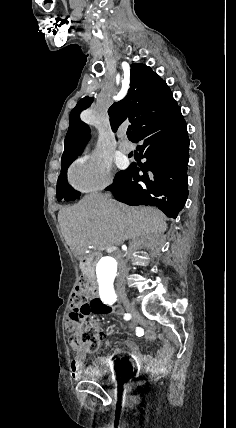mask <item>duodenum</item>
Returning a JSON list of instances; mask_svg holds the SVG:
<instances>
[{
  "mask_svg": "<svg viewBox=\"0 0 236 428\" xmlns=\"http://www.w3.org/2000/svg\"><path fill=\"white\" fill-rule=\"evenodd\" d=\"M79 262H80L81 266H85L86 263H87V258L84 257V256H80L79 257ZM90 289H91V293L94 296H96V297L100 296L101 291L99 290L98 285H97V283L94 280L91 281Z\"/></svg>",
  "mask_w": 236,
  "mask_h": 428,
  "instance_id": "1",
  "label": "duodenum"
}]
</instances>
